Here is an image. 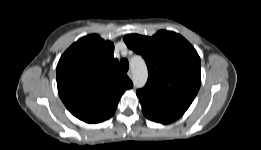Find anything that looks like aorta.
<instances>
[{
	"mask_svg": "<svg viewBox=\"0 0 261 150\" xmlns=\"http://www.w3.org/2000/svg\"><path fill=\"white\" fill-rule=\"evenodd\" d=\"M132 70V81L136 88H142L148 79V70L144 59L141 56H134L130 60Z\"/></svg>",
	"mask_w": 261,
	"mask_h": 150,
	"instance_id": "aorta-1",
	"label": "aorta"
}]
</instances>
